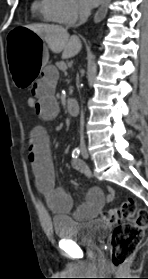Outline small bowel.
<instances>
[{"instance_id": "small-bowel-1", "label": "small bowel", "mask_w": 148, "mask_h": 279, "mask_svg": "<svg viewBox=\"0 0 148 279\" xmlns=\"http://www.w3.org/2000/svg\"><path fill=\"white\" fill-rule=\"evenodd\" d=\"M57 81V69L47 66L41 70L38 80L32 86L31 93L38 102L35 112L44 120H52L59 113V104L54 96ZM28 158L37 186L44 193L49 207L57 213L71 212L73 200L68 192L55 185L48 136L40 126L35 127L31 132ZM71 164L76 171L86 176L90 175V170L83 161L73 158ZM114 197L112 188H108L106 194L99 188H91L85 201L73 211V216L78 220L94 218L100 213L105 202L113 201Z\"/></svg>"}]
</instances>
